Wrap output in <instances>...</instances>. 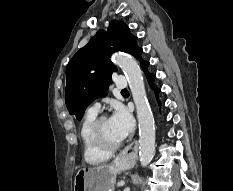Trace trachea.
<instances>
[{
	"label": "trachea",
	"instance_id": "obj_1",
	"mask_svg": "<svg viewBox=\"0 0 233 191\" xmlns=\"http://www.w3.org/2000/svg\"><path fill=\"white\" fill-rule=\"evenodd\" d=\"M128 90L127 89H123L122 92H127Z\"/></svg>",
	"mask_w": 233,
	"mask_h": 191
}]
</instances>
